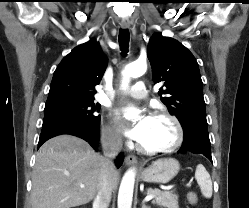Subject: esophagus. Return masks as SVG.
<instances>
[{"label":"esophagus","mask_w":249,"mask_h":208,"mask_svg":"<svg viewBox=\"0 0 249 208\" xmlns=\"http://www.w3.org/2000/svg\"><path fill=\"white\" fill-rule=\"evenodd\" d=\"M121 28L122 29H128L130 28V23L128 20H123L121 21ZM137 163V158L134 156V155H127L126 158H125V164L127 166H133Z\"/></svg>","instance_id":"obj_1"}]
</instances>
